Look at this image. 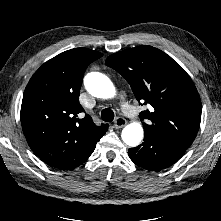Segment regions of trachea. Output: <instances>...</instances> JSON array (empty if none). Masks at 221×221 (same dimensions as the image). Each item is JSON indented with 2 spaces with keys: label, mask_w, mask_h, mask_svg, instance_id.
Returning a JSON list of instances; mask_svg holds the SVG:
<instances>
[{
  "label": "trachea",
  "mask_w": 221,
  "mask_h": 221,
  "mask_svg": "<svg viewBox=\"0 0 221 221\" xmlns=\"http://www.w3.org/2000/svg\"><path fill=\"white\" fill-rule=\"evenodd\" d=\"M101 118L105 122H112L114 119V112L109 108H105L101 112Z\"/></svg>",
  "instance_id": "3493384b"
}]
</instances>
